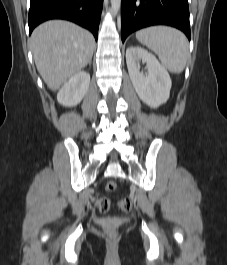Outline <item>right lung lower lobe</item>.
I'll return each mask as SVG.
<instances>
[{
	"label": "right lung lower lobe",
	"mask_w": 227,
	"mask_h": 265,
	"mask_svg": "<svg viewBox=\"0 0 227 265\" xmlns=\"http://www.w3.org/2000/svg\"><path fill=\"white\" fill-rule=\"evenodd\" d=\"M102 6L103 0H30L29 33L43 21L66 19L90 30L97 40Z\"/></svg>",
	"instance_id": "98d812e1"
}]
</instances>
